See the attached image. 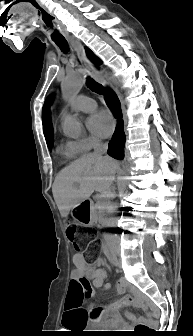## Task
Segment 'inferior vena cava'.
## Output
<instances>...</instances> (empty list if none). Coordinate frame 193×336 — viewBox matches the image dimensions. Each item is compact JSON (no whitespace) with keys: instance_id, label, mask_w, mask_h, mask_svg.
I'll list each match as a JSON object with an SVG mask.
<instances>
[{"instance_id":"obj_1","label":"inferior vena cava","mask_w":193,"mask_h":336,"mask_svg":"<svg viewBox=\"0 0 193 336\" xmlns=\"http://www.w3.org/2000/svg\"><path fill=\"white\" fill-rule=\"evenodd\" d=\"M108 149L107 143H101L99 140H94V154L96 155H103L106 154ZM114 180V175H111L109 177V184H112V181Z\"/></svg>"}]
</instances>
